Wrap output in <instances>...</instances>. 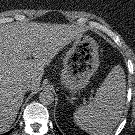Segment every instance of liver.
<instances>
[{
    "instance_id": "1",
    "label": "liver",
    "mask_w": 135,
    "mask_h": 135,
    "mask_svg": "<svg viewBox=\"0 0 135 135\" xmlns=\"http://www.w3.org/2000/svg\"><path fill=\"white\" fill-rule=\"evenodd\" d=\"M50 27L18 23L0 26V133L14 123L27 92L25 85L30 83L32 91H37L45 67L57 52L81 37V31L66 24Z\"/></svg>"
}]
</instances>
